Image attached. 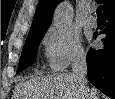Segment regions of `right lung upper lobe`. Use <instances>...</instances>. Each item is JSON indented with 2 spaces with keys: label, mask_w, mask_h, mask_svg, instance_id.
Returning a JSON list of instances; mask_svg holds the SVG:
<instances>
[{
  "label": "right lung upper lobe",
  "mask_w": 115,
  "mask_h": 99,
  "mask_svg": "<svg viewBox=\"0 0 115 99\" xmlns=\"http://www.w3.org/2000/svg\"><path fill=\"white\" fill-rule=\"evenodd\" d=\"M60 1L61 0H40L28 36L46 33L54 9ZM101 3L104 7L103 14L115 9V0H101Z\"/></svg>",
  "instance_id": "right-lung-upper-lobe-1"
}]
</instances>
